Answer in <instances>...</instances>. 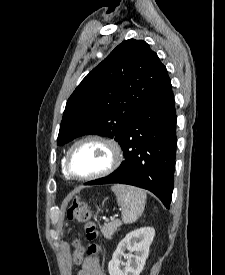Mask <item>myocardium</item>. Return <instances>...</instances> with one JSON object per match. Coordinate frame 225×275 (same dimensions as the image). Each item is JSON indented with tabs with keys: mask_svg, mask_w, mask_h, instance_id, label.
<instances>
[{
	"mask_svg": "<svg viewBox=\"0 0 225 275\" xmlns=\"http://www.w3.org/2000/svg\"><path fill=\"white\" fill-rule=\"evenodd\" d=\"M86 142H97V143H100V144L106 146L110 152V162H109L108 166L101 171H98V172H95V173L89 174V175H77V174L73 173V171L71 170L70 158H71L73 151L79 145L86 143ZM121 161H122V150H121L119 144L115 140L106 138L103 136H99V135H88V136L82 137L79 140L75 141L70 146V148L68 149V151L66 153L63 167H64L65 173L73 179L94 180V179L105 177V176L111 174L112 172H114L121 164Z\"/></svg>",
	"mask_w": 225,
	"mask_h": 275,
	"instance_id": "f54148a6",
	"label": "myocardium"
}]
</instances>
